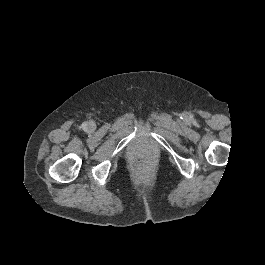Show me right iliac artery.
Returning <instances> with one entry per match:
<instances>
[{
  "mask_svg": "<svg viewBox=\"0 0 265 265\" xmlns=\"http://www.w3.org/2000/svg\"><path fill=\"white\" fill-rule=\"evenodd\" d=\"M87 127V124L86 123H83L82 124V128L85 129Z\"/></svg>",
  "mask_w": 265,
  "mask_h": 265,
  "instance_id": "obj_1",
  "label": "right iliac artery"
}]
</instances>
